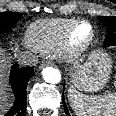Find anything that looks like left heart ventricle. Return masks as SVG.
Segmentation results:
<instances>
[{"mask_svg":"<svg viewBox=\"0 0 116 116\" xmlns=\"http://www.w3.org/2000/svg\"><path fill=\"white\" fill-rule=\"evenodd\" d=\"M90 34V28L87 25H83L81 27H79V29L76 31L75 35H74V40L77 43H80L82 41H84L85 39L88 38Z\"/></svg>","mask_w":116,"mask_h":116,"instance_id":"1","label":"left heart ventricle"}]
</instances>
